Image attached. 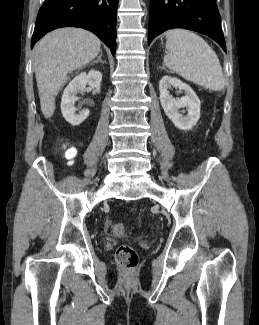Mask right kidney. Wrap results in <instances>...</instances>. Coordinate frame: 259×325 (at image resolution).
I'll return each mask as SVG.
<instances>
[{
	"label": "right kidney",
	"instance_id": "ca27d5eb",
	"mask_svg": "<svg viewBox=\"0 0 259 325\" xmlns=\"http://www.w3.org/2000/svg\"><path fill=\"white\" fill-rule=\"evenodd\" d=\"M101 80V72L91 70L88 73L79 74L68 84L61 99L62 115L67 122L73 126H77L88 117V109L82 110L79 114H76V107L74 106L75 102L78 100L76 95L78 92H82L87 84L95 88L96 93H99Z\"/></svg>",
	"mask_w": 259,
	"mask_h": 325
}]
</instances>
